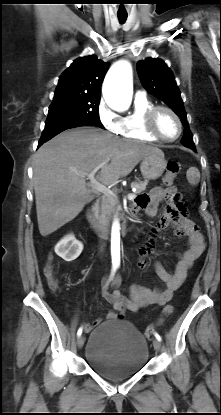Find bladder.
<instances>
[{
	"instance_id": "1",
	"label": "bladder",
	"mask_w": 221,
	"mask_h": 415,
	"mask_svg": "<svg viewBox=\"0 0 221 415\" xmlns=\"http://www.w3.org/2000/svg\"><path fill=\"white\" fill-rule=\"evenodd\" d=\"M149 358L148 344L129 321L114 319L95 328L86 346L89 366L110 380L130 377L144 368Z\"/></svg>"
}]
</instances>
